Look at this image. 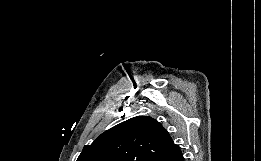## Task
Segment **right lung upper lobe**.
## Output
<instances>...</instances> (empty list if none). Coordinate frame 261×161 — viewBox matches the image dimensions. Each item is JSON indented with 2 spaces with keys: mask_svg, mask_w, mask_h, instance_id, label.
Wrapping results in <instances>:
<instances>
[{
  "mask_svg": "<svg viewBox=\"0 0 261 161\" xmlns=\"http://www.w3.org/2000/svg\"><path fill=\"white\" fill-rule=\"evenodd\" d=\"M179 150L159 122L148 116H137L86 145L77 161H159Z\"/></svg>",
  "mask_w": 261,
  "mask_h": 161,
  "instance_id": "right-lung-upper-lobe-1",
  "label": "right lung upper lobe"
}]
</instances>
